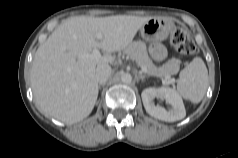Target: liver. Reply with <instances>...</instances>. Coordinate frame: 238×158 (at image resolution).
<instances>
[{"label": "liver", "mask_w": 238, "mask_h": 158, "mask_svg": "<svg viewBox=\"0 0 238 158\" xmlns=\"http://www.w3.org/2000/svg\"><path fill=\"white\" fill-rule=\"evenodd\" d=\"M151 18L116 15L65 20L39 46L33 59L31 86L40 110L67 124L89 116L98 96L96 65L113 63L109 53L124 50ZM94 48L106 54L98 59L86 57Z\"/></svg>", "instance_id": "obj_1"}]
</instances>
